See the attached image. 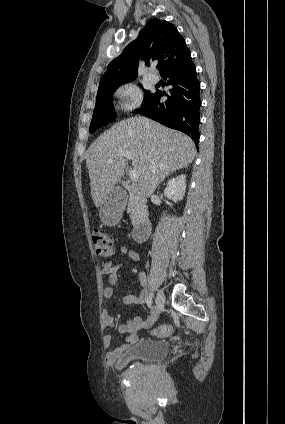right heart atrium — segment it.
Returning <instances> with one entry per match:
<instances>
[{"label":"right heart atrium","instance_id":"1","mask_svg":"<svg viewBox=\"0 0 285 424\" xmlns=\"http://www.w3.org/2000/svg\"><path fill=\"white\" fill-rule=\"evenodd\" d=\"M116 106L121 112H130L140 106L142 92L133 82H125L115 91Z\"/></svg>","mask_w":285,"mask_h":424}]
</instances>
